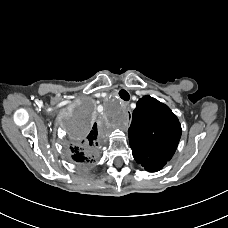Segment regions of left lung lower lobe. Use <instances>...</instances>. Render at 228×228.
<instances>
[{"instance_id": "0a47b994", "label": "left lung lower lobe", "mask_w": 228, "mask_h": 228, "mask_svg": "<svg viewBox=\"0 0 228 228\" xmlns=\"http://www.w3.org/2000/svg\"><path fill=\"white\" fill-rule=\"evenodd\" d=\"M165 164H166L165 161L155 160L154 163L152 164V166L146 170L150 171V172H155V171L160 170Z\"/></svg>"}]
</instances>
